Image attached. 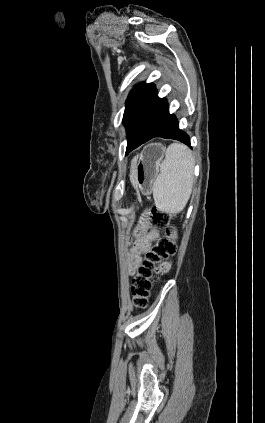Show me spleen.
<instances>
[{"mask_svg":"<svg viewBox=\"0 0 265 423\" xmlns=\"http://www.w3.org/2000/svg\"><path fill=\"white\" fill-rule=\"evenodd\" d=\"M194 159L188 147L172 143L152 185L155 206L162 212H181L192 193Z\"/></svg>","mask_w":265,"mask_h":423,"instance_id":"obj_1","label":"spleen"}]
</instances>
